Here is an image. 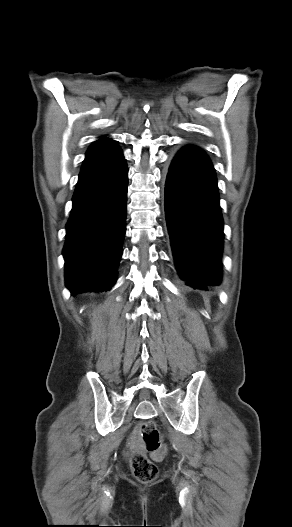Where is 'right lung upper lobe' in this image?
<instances>
[{"mask_svg":"<svg viewBox=\"0 0 292 527\" xmlns=\"http://www.w3.org/2000/svg\"><path fill=\"white\" fill-rule=\"evenodd\" d=\"M107 139H108V138H101V139H99V140H107Z\"/></svg>","mask_w":292,"mask_h":527,"instance_id":"right-lung-upper-lobe-1","label":"right lung upper lobe"}]
</instances>
